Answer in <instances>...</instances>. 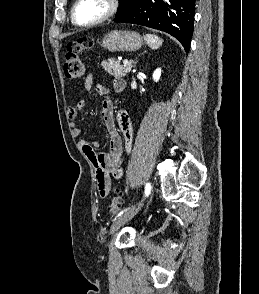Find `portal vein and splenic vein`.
I'll list each match as a JSON object with an SVG mask.
<instances>
[{"mask_svg":"<svg viewBox=\"0 0 259 294\" xmlns=\"http://www.w3.org/2000/svg\"><path fill=\"white\" fill-rule=\"evenodd\" d=\"M123 64H124V65H129V64H131V63H130L128 60H124V61H123Z\"/></svg>","mask_w":259,"mask_h":294,"instance_id":"1","label":"portal vein and splenic vein"}]
</instances>
